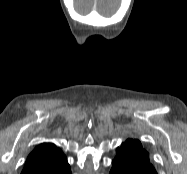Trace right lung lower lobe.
I'll use <instances>...</instances> for the list:
<instances>
[{"mask_svg":"<svg viewBox=\"0 0 187 174\" xmlns=\"http://www.w3.org/2000/svg\"><path fill=\"white\" fill-rule=\"evenodd\" d=\"M62 174H71V172H70V168H69V170L65 171V172L62 173Z\"/></svg>","mask_w":187,"mask_h":174,"instance_id":"right-lung-lower-lobe-1","label":"right lung lower lobe"}]
</instances>
